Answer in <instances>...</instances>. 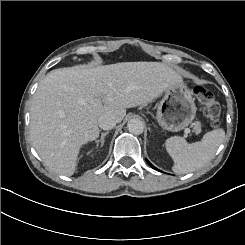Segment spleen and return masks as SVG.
I'll return each instance as SVG.
<instances>
[{
  "label": "spleen",
  "instance_id": "obj_1",
  "mask_svg": "<svg viewBox=\"0 0 245 245\" xmlns=\"http://www.w3.org/2000/svg\"><path fill=\"white\" fill-rule=\"evenodd\" d=\"M224 137V130L216 129L207 132L201 141L191 144L180 136L168 138L165 145L175 163L173 171L186 174L204 167L215 156Z\"/></svg>",
  "mask_w": 245,
  "mask_h": 245
}]
</instances>
